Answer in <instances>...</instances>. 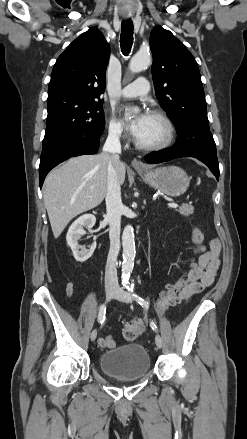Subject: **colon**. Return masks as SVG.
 <instances>
[{
	"label": "colon",
	"instance_id": "5ec220e1",
	"mask_svg": "<svg viewBox=\"0 0 247 439\" xmlns=\"http://www.w3.org/2000/svg\"><path fill=\"white\" fill-rule=\"evenodd\" d=\"M192 240L195 247L202 246L204 242V235L199 228L192 229ZM185 279L181 278L176 282L169 283L166 289L161 294L160 299L155 305V312L157 314L164 313L169 307L173 306L178 301V294L183 288ZM143 329V322L141 321H131L125 324L123 329V337L127 341H133L137 339Z\"/></svg>",
	"mask_w": 247,
	"mask_h": 439
}]
</instances>
